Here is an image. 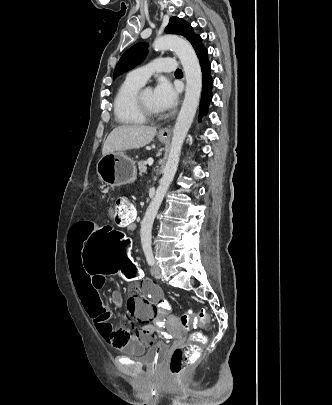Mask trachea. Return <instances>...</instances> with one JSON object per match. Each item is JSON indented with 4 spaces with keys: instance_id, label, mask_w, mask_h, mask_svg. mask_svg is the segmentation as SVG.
I'll use <instances>...</instances> for the list:
<instances>
[{
    "instance_id": "trachea-1",
    "label": "trachea",
    "mask_w": 332,
    "mask_h": 405,
    "mask_svg": "<svg viewBox=\"0 0 332 405\" xmlns=\"http://www.w3.org/2000/svg\"><path fill=\"white\" fill-rule=\"evenodd\" d=\"M175 74H182V71L180 69H177Z\"/></svg>"
}]
</instances>
